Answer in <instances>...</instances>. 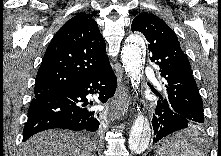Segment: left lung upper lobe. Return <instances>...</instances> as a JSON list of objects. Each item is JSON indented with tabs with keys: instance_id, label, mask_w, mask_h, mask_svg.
Returning a JSON list of instances; mask_svg holds the SVG:
<instances>
[{
	"instance_id": "1",
	"label": "left lung upper lobe",
	"mask_w": 221,
	"mask_h": 156,
	"mask_svg": "<svg viewBox=\"0 0 221 156\" xmlns=\"http://www.w3.org/2000/svg\"><path fill=\"white\" fill-rule=\"evenodd\" d=\"M131 29L143 33L149 42L150 60L159 67L171 108L197 125L204 123L203 102L188 58L174 31L148 12L135 17Z\"/></svg>"
}]
</instances>
